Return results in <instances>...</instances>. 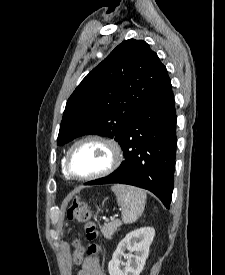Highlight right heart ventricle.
I'll return each mask as SVG.
<instances>
[{
	"mask_svg": "<svg viewBox=\"0 0 225 275\" xmlns=\"http://www.w3.org/2000/svg\"><path fill=\"white\" fill-rule=\"evenodd\" d=\"M63 173H64L65 176H67V174H66L65 171H64V168H63Z\"/></svg>",
	"mask_w": 225,
	"mask_h": 275,
	"instance_id": "1",
	"label": "right heart ventricle"
}]
</instances>
